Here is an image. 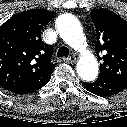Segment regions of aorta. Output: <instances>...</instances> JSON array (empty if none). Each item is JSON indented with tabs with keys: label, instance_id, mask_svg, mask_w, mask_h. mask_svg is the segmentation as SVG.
<instances>
[{
	"label": "aorta",
	"instance_id": "762f6f07",
	"mask_svg": "<svg viewBox=\"0 0 127 127\" xmlns=\"http://www.w3.org/2000/svg\"><path fill=\"white\" fill-rule=\"evenodd\" d=\"M57 30L62 39L81 56L77 63V73L84 81H93L98 75V62L87 50L86 38L79 21L70 14L61 15L56 22Z\"/></svg>",
	"mask_w": 127,
	"mask_h": 127
}]
</instances>
